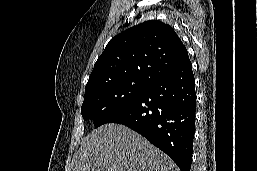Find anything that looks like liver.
<instances>
[{
  "mask_svg": "<svg viewBox=\"0 0 257 171\" xmlns=\"http://www.w3.org/2000/svg\"><path fill=\"white\" fill-rule=\"evenodd\" d=\"M71 171H179L162 151L130 128L109 123L86 136Z\"/></svg>",
  "mask_w": 257,
  "mask_h": 171,
  "instance_id": "1",
  "label": "liver"
}]
</instances>
